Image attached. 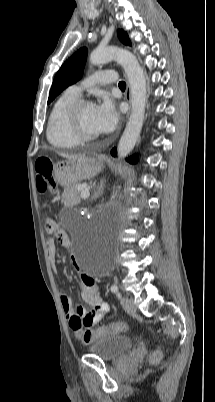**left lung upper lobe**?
Returning a JSON list of instances; mask_svg holds the SVG:
<instances>
[{
    "mask_svg": "<svg viewBox=\"0 0 215 402\" xmlns=\"http://www.w3.org/2000/svg\"><path fill=\"white\" fill-rule=\"evenodd\" d=\"M118 37L122 43L131 45L128 34L123 30H118ZM86 58L87 48L83 47L62 65L53 80L48 104L65 88L76 83L82 77Z\"/></svg>",
    "mask_w": 215,
    "mask_h": 402,
    "instance_id": "1",
    "label": "left lung upper lobe"
}]
</instances>
